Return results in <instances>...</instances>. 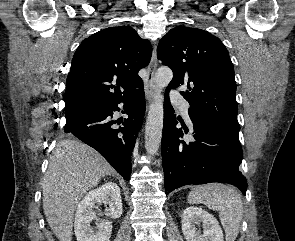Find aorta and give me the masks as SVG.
<instances>
[{"label": "aorta", "mask_w": 295, "mask_h": 241, "mask_svg": "<svg viewBox=\"0 0 295 241\" xmlns=\"http://www.w3.org/2000/svg\"><path fill=\"white\" fill-rule=\"evenodd\" d=\"M173 78L172 70L169 67H160L154 76V96L148 111L145 126V148L150 156L157 154L163 131L164 108L163 89Z\"/></svg>", "instance_id": "aorta-1"}]
</instances>
